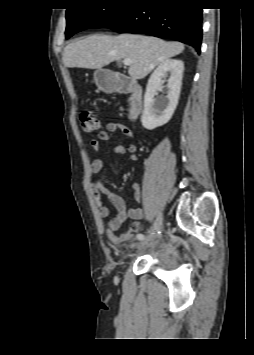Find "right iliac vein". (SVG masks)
Here are the masks:
<instances>
[{
	"mask_svg": "<svg viewBox=\"0 0 254 355\" xmlns=\"http://www.w3.org/2000/svg\"><path fill=\"white\" fill-rule=\"evenodd\" d=\"M163 225V215L162 213H159V215L157 216L156 218V221H155V224H154V229L155 230H159ZM153 238V235H150L148 238H146L144 241H141L139 244H138V248L139 249H142L144 248L147 243Z\"/></svg>",
	"mask_w": 254,
	"mask_h": 355,
	"instance_id": "right-iliac-vein-1",
	"label": "right iliac vein"
}]
</instances>
